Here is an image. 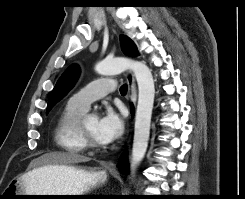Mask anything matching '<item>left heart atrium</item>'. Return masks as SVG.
Returning a JSON list of instances; mask_svg holds the SVG:
<instances>
[{
    "mask_svg": "<svg viewBox=\"0 0 245 199\" xmlns=\"http://www.w3.org/2000/svg\"><path fill=\"white\" fill-rule=\"evenodd\" d=\"M124 131L122 116L111 107H107L98 119L97 136L101 144H108L117 140Z\"/></svg>",
    "mask_w": 245,
    "mask_h": 199,
    "instance_id": "1",
    "label": "left heart atrium"
}]
</instances>
